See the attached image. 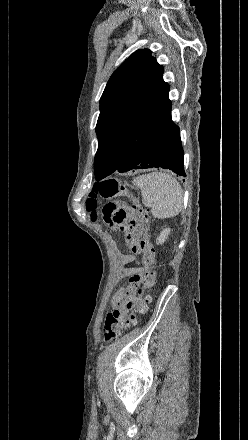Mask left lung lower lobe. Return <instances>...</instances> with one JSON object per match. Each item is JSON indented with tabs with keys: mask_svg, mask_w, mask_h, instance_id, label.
Returning <instances> with one entry per match:
<instances>
[{
	"mask_svg": "<svg viewBox=\"0 0 248 440\" xmlns=\"http://www.w3.org/2000/svg\"><path fill=\"white\" fill-rule=\"evenodd\" d=\"M183 154L179 127L172 122L170 116L161 126L136 143L115 171L162 167L186 176Z\"/></svg>",
	"mask_w": 248,
	"mask_h": 440,
	"instance_id": "obj_1",
	"label": "left lung lower lobe"
}]
</instances>
